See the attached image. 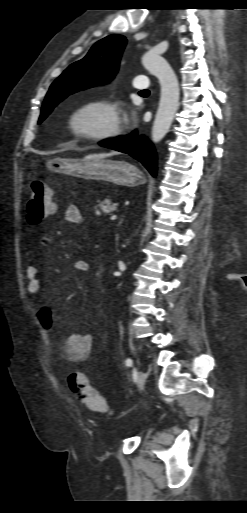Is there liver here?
<instances>
[{"instance_id": "1", "label": "liver", "mask_w": 247, "mask_h": 513, "mask_svg": "<svg viewBox=\"0 0 247 513\" xmlns=\"http://www.w3.org/2000/svg\"><path fill=\"white\" fill-rule=\"evenodd\" d=\"M116 154H117V152H110L108 154H105V153L89 154V155L85 156V159H99V158H105V157L116 155Z\"/></svg>"}]
</instances>
